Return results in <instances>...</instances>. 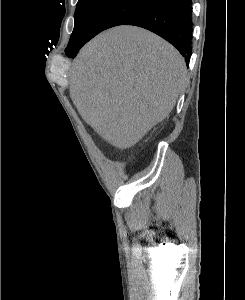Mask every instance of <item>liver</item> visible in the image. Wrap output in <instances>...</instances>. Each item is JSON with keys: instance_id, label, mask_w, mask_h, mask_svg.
<instances>
[{"instance_id": "obj_1", "label": "liver", "mask_w": 245, "mask_h": 300, "mask_svg": "<svg viewBox=\"0 0 245 300\" xmlns=\"http://www.w3.org/2000/svg\"><path fill=\"white\" fill-rule=\"evenodd\" d=\"M186 80L185 61L172 45L150 31L122 25L81 49L69 88L84 121L105 141L125 149L169 115Z\"/></svg>"}]
</instances>
